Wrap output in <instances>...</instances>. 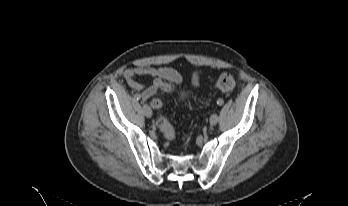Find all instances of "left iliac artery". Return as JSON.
I'll return each mask as SVG.
<instances>
[{"label": "left iliac artery", "mask_w": 348, "mask_h": 206, "mask_svg": "<svg viewBox=\"0 0 348 206\" xmlns=\"http://www.w3.org/2000/svg\"><path fill=\"white\" fill-rule=\"evenodd\" d=\"M217 103H218V104H222V101H221V100H218Z\"/></svg>", "instance_id": "obj_1"}]
</instances>
